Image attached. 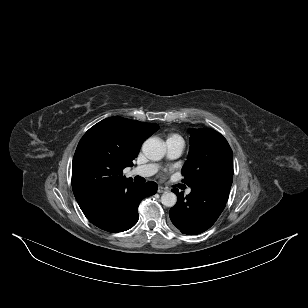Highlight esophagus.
Segmentation results:
<instances>
[{
	"mask_svg": "<svg viewBox=\"0 0 308 308\" xmlns=\"http://www.w3.org/2000/svg\"><path fill=\"white\" fill-rule=\"evenodd\" d=\"M166 191H167L166 188H164V187H162V186H158V192H159V193H164V192H166Z\"/></svg>",
	"mask_w": 308,
	"mask_h": 308,
	"instance_id": "obj_1",
	"label": "esophagus"
}]
</instances>
